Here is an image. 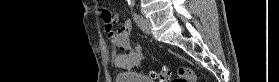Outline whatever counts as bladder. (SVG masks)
I'll return each instance as SVG.
<instances>
[{
  "instance_id": "1",
  "label": "bladder",
  "mask_w": 279,
  "mask_h": 82,
  "mask_svg": "<svg viewBox=\"0 0 279 82\" xmlns=\"http://www.w3.org/2000/svg\"><path fill=\"white\" fill-rule=\"evenodd\" d=\"M116 82H153L147 76L134 73V72H122L116 76Z\"/></svg>"
}]
</instances>
